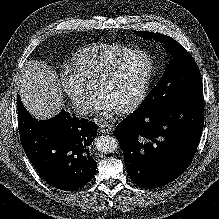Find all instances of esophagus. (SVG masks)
<instances>
[{
    "label": "esophagus",
    "mask_w": 219,
    "mask_h": 219,
    "mask_svg": "<svg viewBox=\"0 0 219 219\" xmlns=\"http://www.w3.org/2000/svg\"><path fill=\"white\" fill-rule=\"evenodd\" d=\"M99 127L102 133H110L113 130V126L108 123H101Z\"/></svg>",
    "instance_id": "esophagus-1"
}]
</instances>
